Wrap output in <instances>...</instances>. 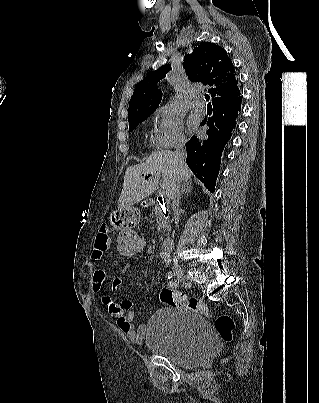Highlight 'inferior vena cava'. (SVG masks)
Returning a JSON list of instances; mask_svg holds the SVG:
<instances>
[{
    "mask_svg": "<svg viewBox=\"0 0 319 403\" xmlns=\"http://www.w3.org/2000/svg\"><path fill=\"white\" fill-rule=\"evenodd\" d=\"M175 160L177 163L182 164L186 158V149H185V140L184 139H179L176 147H175ZM180 185L181 181L176 180L169 192V197L172 200V209H173V214H174V219H175V224H178V215H179V195H180Z\"/></svg>",
    "mask_w": 319,
    "mask_h": 403,
    "instance_id": "inferior-vena-cava-1",
    "label": "inferior vena cava"
}]
</instances>
